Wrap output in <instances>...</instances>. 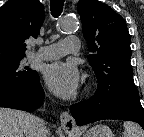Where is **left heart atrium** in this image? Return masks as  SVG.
I'll list each match as a JSON object with an SVG mask.
<instances>
[{
	"mask_svg": "<svg viewBox=\"0 0 144 137\" xmlns=\"http://www.w3.org/2000/svg\"><path fill=\"white\" fill-rule=\"evenodd\" d=\"M45 78L50 90L63 99L72 98L80 85V73L72 62H56L47 66Z\"/></svg>",
	"mask_w": 144,
	"mask_h": 137,
	"instance_id": "obj_1",
	"label": "left heart atrium"
}]
</instances>
